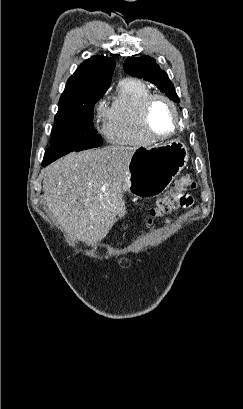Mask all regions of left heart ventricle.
<instances>
[{
	"label": "left heart ventricle",
	"instance_id": "left-heart-ventricle-1",
	"mask_svg": "<svg viewBox=\"0 0 243 409\" xmlns=\"http://www.w3.org/2000/svg\"><path fill=\"white\" fill-rule=\"evenodd\" d=\"M150 124L155 133L165 135L175 127V118L169 105L157 100L152 106Z\"/></svg>",
	"mask_w": 243,
	"mask_h": 409
}]
</instances>
